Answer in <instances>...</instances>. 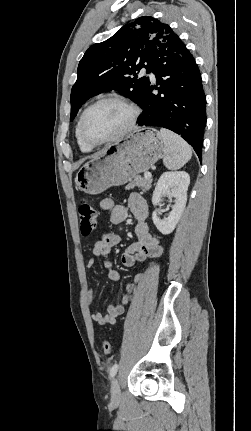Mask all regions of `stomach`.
I'll use <instances>...</instances> for the list:
<instances>
[{
    "instance_id": "stomach-1",
    "label": "stomach",
    "mask_w": 251,
    "mask_h": 431,
    "mask_svg": "<svg viewBox=\"0 0 251 431\" xmlns=\"http://www.w3.org/2000/svg\"><path fill=\"white\" fill-rule=\"evenodd\" d=\"M163 152L164 142L156 129L136 130L86 162L76 174V184L87 194H100L148 171Z\"/></svg>"
}]
</instances>
